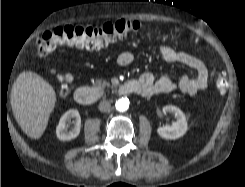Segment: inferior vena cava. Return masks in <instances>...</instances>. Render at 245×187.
<instances>
[{
    "mask_svg": "<svg viewBox=\"0 0 245 187\" xmlns=\"http://www.w3.org/2000/svg\"><path fill=\"white\" fill-rule=\"evenodd\" d=\"M110 107H111L110 103L106 100L101 101L98 106L101 112H108L110 110Z\"/></svg>",
    "mask_w": 245,
    "mask_h": 187,
    "instance_id": "602c4592",
    "label": "inferior vena cava"
}]
</instances>
